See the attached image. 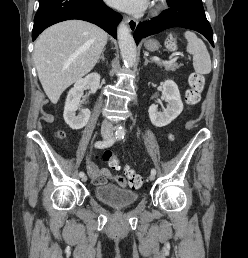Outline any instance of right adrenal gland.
Instances as JSON below:
<instances>
[{
	"instance_id": "right-adrenal-gland-1",
	"label": "right adrenal gland",
	"mask_w": 248,
	"mask_h": 258,
	"mask_svg": "<svg viewBox=\"0 0 248 258\" xmlns=\"http://www.w3.org/2000/svg\"><path fill=\"white\" fill-rule=\"evenodd\" d=\"M104 53H105V49H103L100 59L98 60V63L100 62V60L105 61Z\"/></svg>"
}]
</instances>
